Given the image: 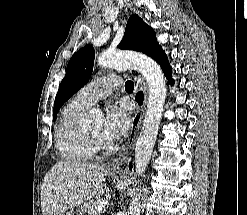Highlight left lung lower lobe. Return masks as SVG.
Returning a JSON list of instances; mask_svg holds the SVG:
<instances>
[{"label": "left lung lower lobe", "mask_w": 247, "mask_h": 215, "mask_svg": "<svg viewBox=\"0 0 247 215\" xmlns=\"http://www.w3.org/2000/svg\"><path fill=\"white\" fill-rule=\"evenodd\" d=\"M151 57L161 65V68H162L165 76L169 80V83L171 85H173L174 80L172 79V75H171L172 69L168 63L167 55L162 50L161 46L153 53V55Z\"/></svg>", "instance_id": "0a47b994"}]
</instances>
